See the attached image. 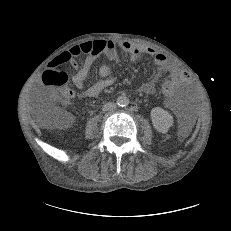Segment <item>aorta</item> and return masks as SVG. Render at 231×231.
Returning a JSON list of instances; mask_svg holds the SVG:
<instances>
[{"mask_svg":"<svg viewBox=\"0 0 231 231\" xmlns=\"http://www.w3.org/2000/svg\"><path fill=\"white\" fill-rule=\"evenodd\" d=\"M117 104L120 106H126L129 104V99L126 95H121L117 98Z\"/></svg>","mask_w":231,"mask_h":231,"instance_id":"obj_1","label":"aorta"}]
</instances>
